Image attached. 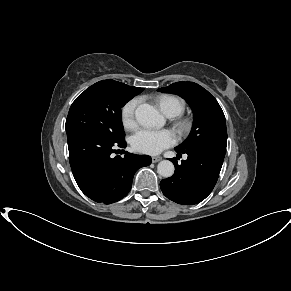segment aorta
Returning a JSON list of instances; mask_svg holds the SVG:
<instances>
[{
	"label": "aorta",
	"instance_id": "762f6f07",
	"mask_svg": "<svg viewBox=\"0 0 291 291\" xmlns=\"http://www.w3.org/2000/svg\"><path fill=\"white\" fill-rule=\"evenodd\" d=\"M135 118L137 122L144 127L162 126L163 117L151 105L147 103L140 104L135 110ZM174 165L169 160H162L158 163L157 172L164 178L171 177L174 174Z\"/></svg>",
	"mask_w": 291,
	"mask_h": 291
}]
</instances>
